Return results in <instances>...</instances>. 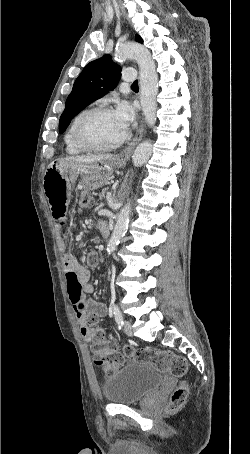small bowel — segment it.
I'll return each mask as SVG.
<instances>
[{
    "label": "small bowel",
    "mask_w": 250,
    "mask_h": 454,
    "mask_svg": "<svg viewBox=\"0 0 250 454\" xmlns=\"http://www.w3.org/2000/svg\"><path fill=\"white\" fill-rule=\"evenodd\" d=\"M44 190L54 221L57 226L61 227L66 222L67 207L76 190L75 174L56 170L48 171L45 176ZM87 260L91 264L96 263L97 253L90 251L87 254ZM62 264L65 271L67 293L73 304L80 333L85 341H91L93 332L91 323L105 317L108 313V307L87 297L93 292L89 271L66 251L65 243Z\"/></svg>",
    "instance_id": "small-bowel-1"
}]
</instances>
